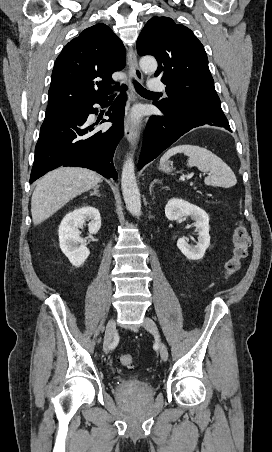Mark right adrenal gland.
<instances>
[{
	"label": "right adrenal gland",
	"mask_w": 272,
	"mask_h": 452,
	"mask_svg": "<svg viewBox=\"0 0 272 452\" xmlns=\"http://www.w3.org/2000/svg\"><path fill=\"white\" fill-rule=\"evenodd\" d=\"M99 187H100V185L95 186V187L93 188V192H91V195L100 196V193H99V190H98Z\"/></svg>",
	"instance_id": "obj_1"
}]
</instances>
